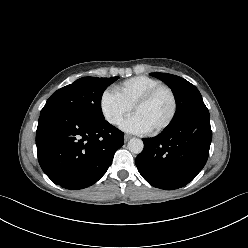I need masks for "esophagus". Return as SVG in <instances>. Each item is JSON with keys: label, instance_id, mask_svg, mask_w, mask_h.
Wrapping results in <instances>:
<instances>
[{"label": "esophagus", "instance_id": "34e87169", "mask_svg": "<svg viewBox=\"0 0 248 248\" xmlns=\"http://www.w3.org/2000/svg\"><path fill=\"white\" fill-rule=\"evenodd\" d=\"M131 138H132L131 135H128V134H125V135H124V140H125V142L129 141Z\"/></svg>", "mask_w": 248, "mask_h": 248}]
</instances>
